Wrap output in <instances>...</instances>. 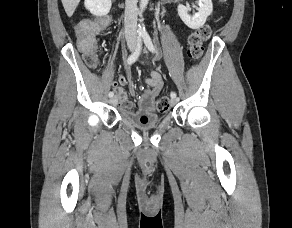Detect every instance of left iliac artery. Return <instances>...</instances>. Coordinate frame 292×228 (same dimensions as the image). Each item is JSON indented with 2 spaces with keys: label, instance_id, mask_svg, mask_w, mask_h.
I'll return each instance as SVG.
<instances>
[{
  "label": "left iliac artery",
  "instance_id": "1",
  "mask_svg": "<svg viewBox=\"0 0 292 228\" xmlns=\"http://www.w3.org/2000/svg\"><path fill=\"white\" fill-rule=\"evenodd\" d=\"M142 36H143V40H144V43H145L146 47H147L152 53H156V48H155V46L153 45L152 40H151L149 34H148V33H144ZM170 96H171V98H176L177 95H176L175 92L172 91L171 94H170Z\"/></svg>",
  "mask_w": 292,
  "mask_h": 228
}]
</instances>
